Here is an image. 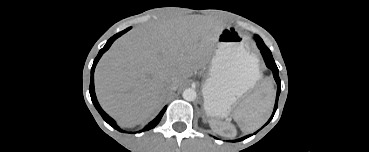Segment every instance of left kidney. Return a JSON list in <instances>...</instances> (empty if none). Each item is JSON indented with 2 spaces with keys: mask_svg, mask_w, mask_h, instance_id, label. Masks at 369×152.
I'll return each mask as SVG.
<instances>
[{
  "mask_svg": "<svg viewBox=\"0 0 369 152\" xmlns=\"http://www.w3.org/2000/svg\"><path fill=\"white\" fill-rule=\"evenodd\" d=\"M209 124L211 129L221 136L231 137L236 135L235 128L229 123L210 120Z\"/></svg>",
  "mask_w": 369,
  "mask_h": 152,
  "instance_id": "left-kidney-1",
  "label": "left kidney"
}]
</instances>
